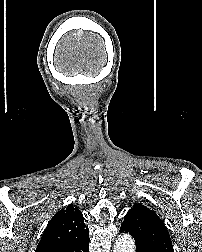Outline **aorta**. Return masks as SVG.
<instances>
[{
	"label": "aorta",
	"instance_id": "762f6f07",
	"mask_svg": "<svg viewBox=\"0 0 202 252\" xmlns=\"http://www.w3.org/2000/svg\"><path fill=\"white\" fill-rule=\"evenodd\" d=\"M114 252H135V243L131 235L119 236L114 244Z\"/></svg>",
	"mask_w": 202,
	"mask_h": 252
}]
</instances>
